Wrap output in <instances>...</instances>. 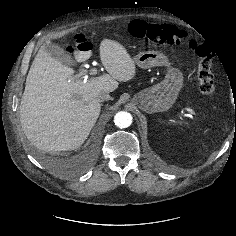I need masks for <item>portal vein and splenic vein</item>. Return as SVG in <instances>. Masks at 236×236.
Here are the masks:
<instances>
[{
	"label": "portal vein and splenic vein",
	"instance_id": "1",
	"mask_svg": "<svg viewBox=\"0 0 236 236\" xmlns=\"http://www.w3.org/2000/svg\"><path fill=\"white\" fill-rule=\"evenodd\" d=\"M85 74H86V71L83 70V71L80 73V75H78L77 78H79V79L84 78V80H87L88 76L85 75ZM91 74H93V75L97 74V69H96V68H92V69H91ZM83 75H84V76H83ZM185 110L188 111L190 114L195 115L194 110H192V109H190V108H185Z\"/></svg>",
	"mask_w": 236,
	"mask_h": 236
}]
</instances>
